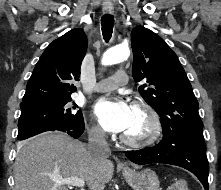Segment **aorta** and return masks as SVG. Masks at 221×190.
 <instances>
[{
  "instance_id": "aorta-1",
  "label": "aorta",
  "mask_w": 221,
  "mask_h": 190,
  "mask_svg": "<svg viewBox=\"0 0 221 190\" xmlns=\"http://www.w3.org/2000/svg\"><path fill=\"white\" fill-rule=\"evenodd\" d=\"M130 55L127 46L118 45L107 50L102 57L101 63L104 66L114 65L126 60Z\"/></svg>"
}]
</instances>
